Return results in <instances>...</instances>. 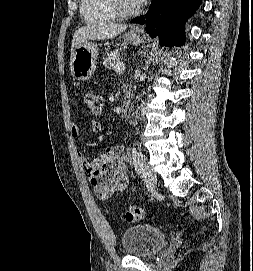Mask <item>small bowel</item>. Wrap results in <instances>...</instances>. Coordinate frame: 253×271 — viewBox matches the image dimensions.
<instances>
[{
  "instance_id": "small-bowel-1",
  "label": "small bowel",
  "mask_w": 253,
  "mask_h": 271,
  "mask_svg": "<svg viewBox=\"0 0 253 271\" xmlns=\"http://www.w3.org/2000/svg\"><path fill=\"white\" fill-rule=\"evenodd\" d=\"M89 133L98 134L102 130V124L98 119H92L89 123ZM73 139L79 136V128L72 124L69 127ZM123 145L108 146L102 152L88 160L86 155L76 150L80 162L83 164L90 184L95 194L102 200L108 199L112 194L124 191L129 183L126 158L122 155Z\"/></svg>"
}]
</instances>
